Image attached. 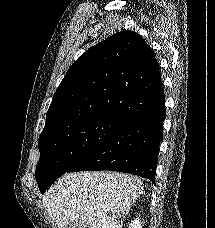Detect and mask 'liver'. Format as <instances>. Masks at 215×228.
<instances>
[{
	"label": "liver",
	"instance_id": "liver-1",
	"mask_svg": "<svg viewBox=\"0 0 215 228\" xmlns=\"http://www.w3.org/2000/svg\"><path fill=\"white\" fill-rule=\"evenodd\" d=\"M143 188L131 174L75 172L59 178L42 204L58 228H122Z\"/></svg>",
	"mask_w": 215,
	"mask_h": 228
}]
</instances>
